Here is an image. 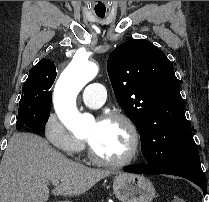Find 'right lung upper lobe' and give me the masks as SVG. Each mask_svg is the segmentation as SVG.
<instances>
[{
  "label": "right lung upper lobe",
  "instance_id": "1",
  "mask_svg": "<svg viewBox=\"0 0 209 202\" xmlns=\"http://www.w3.org/2000/svg\"><path fill=\"white\" fill-rule=\"evenodd\" d=\"M36 75H44V76H55L56 67L54 63L49 59H41L34 67L29 71L28 78H31ZM27 78V79H28Z\"/></svg>",
  "mask_w": 209,
  "mask_h": 202
}]
</instances>
